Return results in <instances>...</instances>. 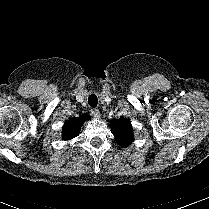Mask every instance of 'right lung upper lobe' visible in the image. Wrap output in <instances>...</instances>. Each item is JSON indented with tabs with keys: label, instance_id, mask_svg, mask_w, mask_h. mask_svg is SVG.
I'll list each match as a JSON object with an SVG mask.
<instances>
[{
	"label": "right lung upper lobe",
	"instance_id": "right-lung-upper-lobe-1",
	"mask_svg": "<svg viewBox=\"0 0 209 209\" xmlns=\"http://www.w3.org/2000/svg\"><path fill=\"white\" fill-rule=\"evenodd\" d=\"M90 116L83 114L79 117L67 120L62 127L63 140H71L78 136V133L86 120H89Z\"/></svg>",
	"mask_w": 209,
	"mask_h": 209
}]
</instances>
